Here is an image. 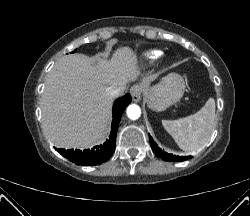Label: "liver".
I'll use <instances>...</instances> for the list:
<instances>
[{
    "instance_id": "obj_1",
    "label": "liver",
    "mask_w": 250,
    "mask_h": 216,
    "mask_svg": "<svg viewBox=\"0 0 250 216\" xmlns=\"http://www.w3.org/2000/svg\"><path fill=\"white\" fill-rule=\"evenodd\" d=\"M140 74L135 53L118 49L111 60L97 63L82 54L60 58L49 72L41 99L42 127L59 148H86L98 140L109 120L113 97L107 88L123 90ZM155 76L147 77L146 83Z\"/></svg>"
}]
</instances>
